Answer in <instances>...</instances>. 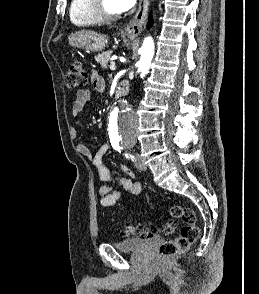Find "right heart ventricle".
<instances>
[{"label":"right heart ventricle","mask_w":259,"mask_h":294,"mask_svg":"<svg viewBox=\"0 0 259 294\" xmlns=\"http://www.w3.org/2000/svg\"><path fill=\"white\" fill-rule=\"evenodd\" d=\"M70 21L75 26H90L101 21L91 11L90 0H72L69 10Z\"/></svg>","instance_id":"e07e8e85"}]
</instances>
